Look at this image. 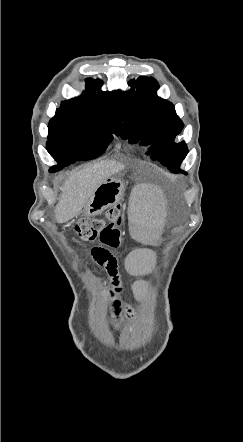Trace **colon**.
Returning a JSON list of instances; mask_svg holds the SVG:
<instances>
[{
	"label": "colon",
	"mask_w": 243,
	"mask_h": 442,
	"mask_svg": "<svg viewBox=\"0 0 243 442\" xmlns=\"http://www.w3.org/2000/svg\"><path fill=\"white\" fill-rule=\"evenodd\" d=\"M122 209L118 204L104 213L103 217H85L77 221L74 232L82 241L99 242L86 243V252H93L94 260L107 263L114 258L110 249H118L122 244Z\"/></svg>",
	"instance_id": "colon-1"
}]
</instances>
